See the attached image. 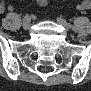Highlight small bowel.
<instances>
[{"label": "small bowel", "mask_w": 91, "mask_h": 91, "mask_svg": "<svg viewBox=\"0 0 91 91\" xmlns=\"http://www.w3.org/2000/svg\"><path fill=\"white\" fill-rule=\"evenodd\" d=\"M38 3H39L40 5H45V4H46V0H39ZM90 7H91V3H90V1H88V0H83V1H81V2L78 4V6H77V8H78L79 10H88V9H90ZM0 10H1V12H4V11H5V7H4V6H1Z\"/></svg>", "instance_id": "obj_1"}]
</instances>
